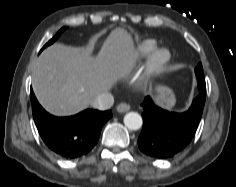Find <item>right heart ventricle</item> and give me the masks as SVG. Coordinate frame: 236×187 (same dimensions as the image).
Returning <instances> with one entry per match:
<instances>
[{"instance_id": "right-heart-ventricle-1", "label": "right heart ventricle", "mask_w": 236, "mask_h": 187, "mask_svg": "<svg viewBox=\"0 0 236 187\" xmlns=\"http://www.w3.org/2000/svg\"><path fill=\"white\" fill-rule=\"evenodd\" d=\"M158 43L153 39H145L137 42L127 53L123 68L130 69L136 62L149 57L155 50H157Z\"/></svg>"}]
</instances>
